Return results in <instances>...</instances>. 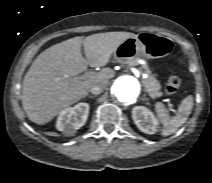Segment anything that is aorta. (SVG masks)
<instances>
[{
  "label": "aorta",
  "instance_id": "1",
  "mask_svg": "<svg viewBox=\"0 0 212 183\" xmlns=\"http://www.w3.org/2000/svg\"><path fill=\"white\" fill-rule=\"evenodd\" d=\"M141 92L138 79L130 75L118 77L111 88L113 98L117 103L127 105L136 101Z\"/></svg>",
  "mask_w": 212,
  "mask_h": 183
}]
</instances>
